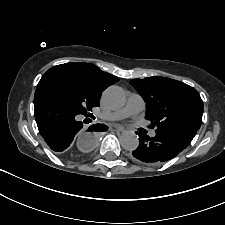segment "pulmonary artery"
<instances>
[{"label": "pulmonary artery", "mask_w": 225, "mask_h": 225, "mask_svg": "<svg viewBox=\"0 0 225 225\" xmlns=\"http://www.w3.org/2000/svg\"><path fill=\"white\" fill-rule=\"evenodd\" d=\"M145 108V102L143 98L138 94H130L126 105L114 112H109L101 115L103 120H117L130 115L140 113ZM152 137L156 135L154 131L150 133Z\"/></svg>", "instance_id": "pulmonary-artery-1"}]
</instances>
